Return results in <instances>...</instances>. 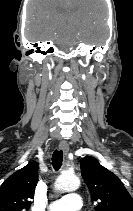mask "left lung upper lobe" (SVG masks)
<instances>
[{"label": "left lung upper lobe", "instance_id": "5c2ea615", "mask_svg": "<svg viewBox=\"0 0 133 211\" xmlns=\"http://www.w3.org/2000/svg\"><path fill=\"white\" fill-rule=\"evenodd\" d=\"M80 165L96 211H133V198L114 173L91 156L81 158Z\"/></svg>", "mask_w": 133, "mask_h": 211}]
</instances>
